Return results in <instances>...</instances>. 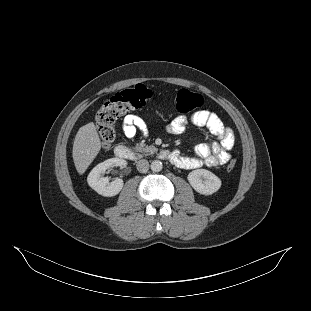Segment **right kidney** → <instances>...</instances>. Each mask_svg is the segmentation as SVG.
<instances>
[{"label":"right kidney","mask_w":311,"mask_h":311,"mask_svg":"<svg viewBox=\"0 0 311 311\" xmlns=\"http://www.w3.org/2000/svg\"><path fill=\"white\" fill-rule=\"evenodd\" d=\"M128 162L122 158H110L97 164L89 173L88 184L99 194L104 196L116 195L123 187L122 176L109 180L104 176V172L111 166L127 167Z\"/></svg>","instance_id":"right-kidney-1"}]
</instances>
